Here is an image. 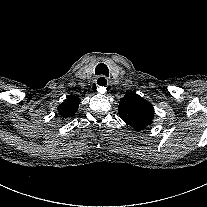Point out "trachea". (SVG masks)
<instances>
[{
	"instance_id": "3493384b",
	"label": "trachea",
	"mask_w": 207,
	"mask_h": 207,
	"mask_svg": "<svg viewBox=\"0 0 207 207\" xmlns=\"http://www.w3.org/2000/svg\"><path fill=\"white\" fill-rule=\"evenodd\" d=\"M95 74L96 75H106L109 76V70L108 67L105 64H98L95 68ZM98 85L100 86H106L107 84H103L99 81H97Z\"/></svg>"
}]
</instances>
